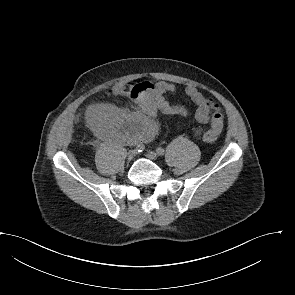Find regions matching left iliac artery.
I'll list each match as a JSON object with an SVG mask.
<instances>
[{"label":"left iliac artery","mask_w":295,"mask_h":295,"mask_svg":"<svg viewBox=\"0 0 295 295\" xmlns=\"http://www.w3.org/2000/svg\"><path fill=\"white\" fill-rule=\"evenodd\" d=\"M156 153L159 155V156H163L165 154V150L162 148V147H158L156 149Z\"/></svg>","instance_id":"obj_1"}]
</instances>
